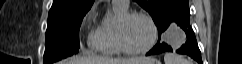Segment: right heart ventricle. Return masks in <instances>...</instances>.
Returning <instances> with one entry per match:
<instances>
[{
    "label": "right heart ventricle",
    "instance_id": "right-heart-ventricle-1",
    "mask_svg": "<svg viewBox=\"0 0 242 64\" xmlns=\"http://www.w3.org/2000/svg\"><path fill=\"white\" fill-rule=\"evenodd\" d=\"M126 12L127 9L112 5L111 11L104 16L90 37V45L93 50L108 56L121 52L117 42V24L119 18Z\"/></svg>",
    "mask_w": 242,
    "mask_h": 64
}]
</instances>
